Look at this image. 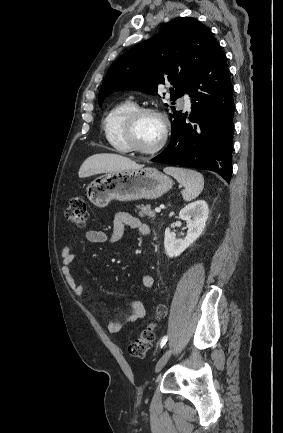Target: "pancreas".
Listing matches in <instances>:
<instances>
[{
	"instance_id": "1",
	"label": "pancreas",
	"mask_w": 283,
	"mask_h": 433,
	"mask_svg": "<svg viewBox=\"0 0 283 433\" xmlns=\"http://www.w3.org/2000/svg\"><path fill=\"white\" fill-rule=\"evenodd\" d=\"M138 208L139 217H148V219H155L156 214L154 210H151V204H141V206H136Z\"/></svg>"
}]
</instances>
